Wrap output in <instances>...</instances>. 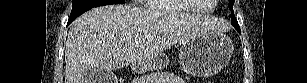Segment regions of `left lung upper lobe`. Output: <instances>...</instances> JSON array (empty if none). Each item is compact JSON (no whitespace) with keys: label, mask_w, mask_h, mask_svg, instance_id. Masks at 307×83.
I'll use <instances>...</instances> for the list:
<instances>
[{"label":"left lung upper lobe","mask_w":307,"mask_h":83,"mask_svg":"<svg viewBox=\"0 0 307 83\" xmlns=\"http://www.w3.org/2000/svg\"><path fill=\"white\" fill-rule=\"evenodd\" d=\"M234 1L235 0H229V7H230V10H231V14H232V18H231V24L236 28V29H240L239 25H238V22L235 18V15L233 13V4H234Z\"/></svg>","instance_id":"1"}]
</instances>
